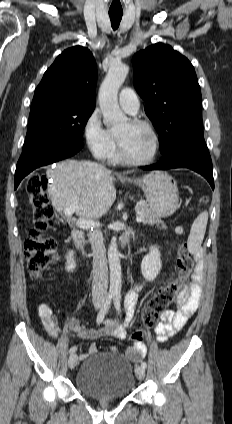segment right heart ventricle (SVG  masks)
<instances>
[{"label": "right heart ventricle", "instance_id": "1", "mask_svg": "<svg viewBox=\"0 0 232 424\" xmlns=\"http://www.w3.org/2000/svg\"><path fill=\"white\" fill-rule=\"evenodd\" d=\"M108 157H109L110 161L113 162V163L120 162V159L118 157L117 150L115 149V146H114L113 150L111 151V153L109 154Z\"/></svg>", "mask_w": 232, "mask_h": 424}]
</instances>
